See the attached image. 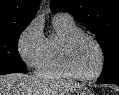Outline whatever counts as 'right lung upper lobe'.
Instances as JSON below:
<instances>
[{
  "label": "right lung upper lobe",
  "instance_id": "obj_1",
  "mask_svg": "<svg viewBox=\"0 0 119 95\" xmlns=\"http://www.w3.org/2000/svg\"><path fill=\"white\" fill-rule=\"evenodd\" d=\"M40 0H0V27L30 23Z\"/></svg>",
  "mask_w": 119,
  "mask_h": 95
}]
</instances>
